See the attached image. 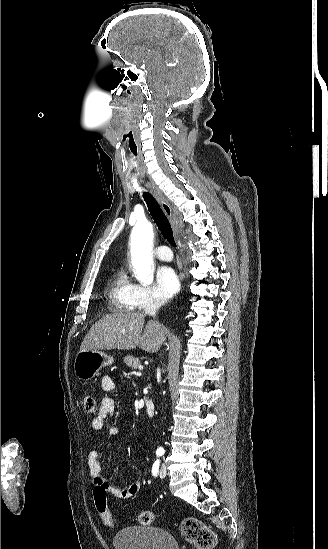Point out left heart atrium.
Wrapping results in <instances>:
<instances>
[{"mask_svg": "<svg viewBox=\"0 0 328 549\" xmlns=\"http://www.w3.org/2000/svg\"><path fill=\"white\" fill-rule=\"evenodd\" d=\"M179 282L175 272L169 267H162L157 273V288L164 298L176 293Z\"/></svg>", "mask_w": 328, "mask_h": 549, "instance_id": "39dd6f15", "label": "left heart atrium"}]
</instances>
